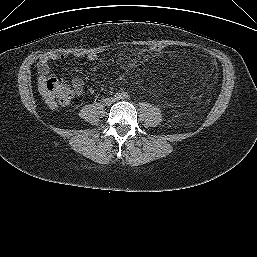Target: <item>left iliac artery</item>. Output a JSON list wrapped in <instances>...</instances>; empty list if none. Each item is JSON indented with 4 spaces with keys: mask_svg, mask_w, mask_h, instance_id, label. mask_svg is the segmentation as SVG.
<instances>
[{
    "mask_svg": "<svg viewBox=\"0 0 257 257\" xmlns=\"http://www.w3.org/2000/svg\"><path fill=\"white\" fill-rule=\"evenodd\" d=\"M123 97H124V98H127V97H128V94H127V93H123Z\"/></svg>",
    "mask_w": 257,
    "mask_h": 257,
    "instance_id": "44dca946",
    "label": "left iliac artery"
}]
</instances>
